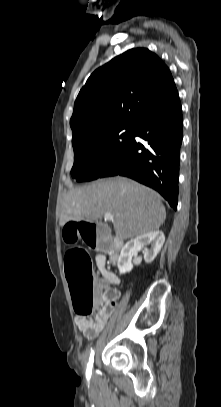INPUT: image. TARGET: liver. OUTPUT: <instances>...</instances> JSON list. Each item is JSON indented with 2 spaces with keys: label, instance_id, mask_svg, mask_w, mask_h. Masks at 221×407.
I'll list each match as a JSON object with an SVG mask.
<instances>
[{
  "label": "liver",
  "instance_id": "1",
  "mask_svg": "<svg viewBox=\"0 0 221 407\" xmlns=\"http://www.w3.org/2000/svg\"><path fill=\"white\" fill-rule=\"evenodd\" d=\"M107 213L114 217L116 236L125 240L158 230L166 219L165 207L156 192L117 176L71 189L62 204L60 224L98 222Z\"/></svg>",
  "mask_w": 221,
  "mask_h": 407
}]
</instances>
